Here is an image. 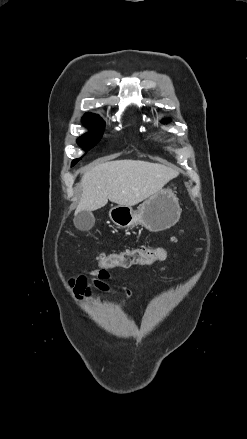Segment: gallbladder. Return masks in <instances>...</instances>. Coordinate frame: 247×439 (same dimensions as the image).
<instances>
[{
  "label": "gallbladder",
  "mask_w": 247,
  "mask_h": 439,
  "mask_svg": "<svg viewBox=\"0 0 247 439\" xmlns=\"http://www.w3.org/2000/svg\"><path fill=\"white\" fill-rule=\"evenodd\" d=\"M95 223L94 215L89 211H80L74 217V225L78 230L88 231Z\"/></svg>",
  "instance_id": "obj_1"
}]
</instances>
